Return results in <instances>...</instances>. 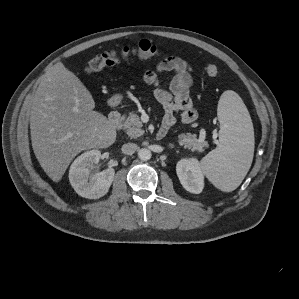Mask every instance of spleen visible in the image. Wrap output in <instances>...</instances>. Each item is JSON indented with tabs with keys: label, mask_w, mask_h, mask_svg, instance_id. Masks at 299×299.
<instances>
[{
	"label": "spleen",
	"mask_w": 299,
	"mask_h": 299,
	"mask_svg": "<svg viewBox=\"0 0 299 299\" xmlns=\"http://www.w3.org/2000/svg\"><path fill=\"white\" fill-rule=\"evenodd\" d=\"M220 123L218 147L209 152L200 167L207 178L224 192L234 191L243 181L254 155V129L240 96L225 91L218 102Z\"/></svg>",
	"instance_id": "1"
}]
</instances>
